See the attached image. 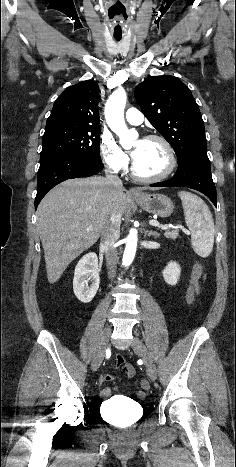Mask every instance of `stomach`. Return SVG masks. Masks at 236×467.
I'll return each mask as SVG.
<instances>
[{"label":"stomach","mask_w":236,"mask_h":467,"mask_svg":"<svg viewBox=\"0 0 236 467\" xmlns=\"http://www.w3.org/2000/svg\"><path fill=\"white\" fill-rule=\"evenodd\" d=\"M132 199L146 212L166 218L173 212L174 206L170 198L163 194H141Z\"/></svg>","instance_id":"stomach-1"}]
</instances>
